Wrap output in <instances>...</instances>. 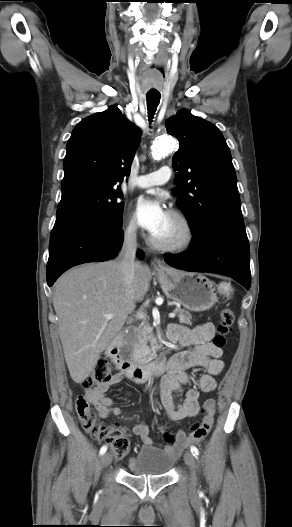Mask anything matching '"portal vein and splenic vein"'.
<instances>
[{"label": "portal vein and splenic vein", "instance_id": "portal-vein-and-splenic-vein-1", "mask_svg": "<svg viewBox=\"0 0 292 527\" xmlns=\"http://www.w3.org/2000/svg\"><path fill=\"white\" fill-rule=\"evenodd\" d=\"M137 316H138L139 318H141V319L144 318V315H143L142 313H138ZM175 316H176V313H175V312L169 313V317H170V318H174ZM113 317H114L113 314H106V315H105V318H106V319H111V318H113Z\"/></svg>", "mask_w": 292, "mask_h": 527}]
</instances>
